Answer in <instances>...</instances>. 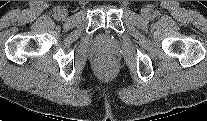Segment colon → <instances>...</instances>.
<instances>
[{
    "mask_svg": "<svg viewBox=\"0 0 207 121\" xmlns=\"http://www.w3.org/2000/svg\"><path fill=\"white\" fill-rule=\"evenodd\" d=\"M96 67L100 73L107 74L115 69L116 61L111 54L103 53L97 57Z\"/></svg>",
    "mask_w": 207,
    "mask_h": 121,
    "instance_id": "5ec220e1",
    "label": "colon"
}]
</instances>
